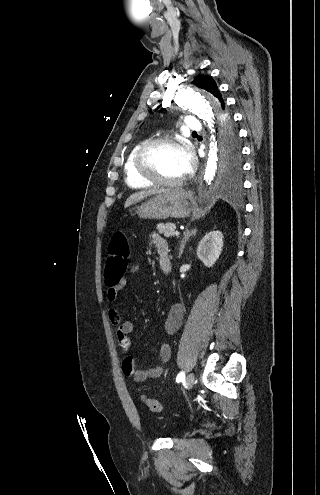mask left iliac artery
Segmentation results:
<instances>
[{"mask_svg": "<svg viewBox=\"0 0 320 495\" xmlns=\"http://www.w3.org/2000/svg\"><path fill=\"white\" fill-rule=\"evenodd\" d=\"M184 377H185L184 372H180L176 378V382L182 381Z\"/></svg>", "mask_w": 320, "mask_h": 495, "instance_id": "44dca946", "label": "left iliac artery"}]
</instances>
